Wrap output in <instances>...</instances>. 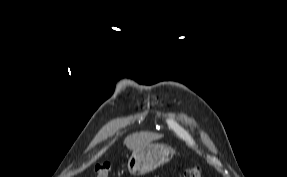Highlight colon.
<instances>
[{
  "mask_svg": "<svg viewBox=\"0 0 287 177\" xmlns=\"http://www.w3.org/2000/svg\"><path fill=\"white\" fill-rule=\"evenodd\" d=\"M111 166L108 163L98 164L95 169V177H110ZM184 177H203L201 166L193 165L184 172Z\"/></svg>",
  "mask_w": 287,
  "mask_h": 177,
  "instance_id": "colon-1",
  "label": "colon"
}]
</instances>
